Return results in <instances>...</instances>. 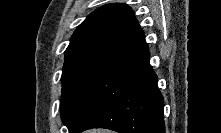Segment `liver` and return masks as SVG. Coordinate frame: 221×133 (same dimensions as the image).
Listing matches in <instances>:
<instances>
[{
	"label": "liver",
	"instance_id": "liver-1",
	"mask_svg": "<svg viewBox=\"0 0 221 133\" xmlns=\"http://www.w3.org/2000/svg\"><path fill=\"white\" fill-rule=\"evenodd\" d=\"M87 133H106L104 130H90Z\"/></svg>",
	"mask_w": 221,
	"mask_h": 133
}]
</instances>
